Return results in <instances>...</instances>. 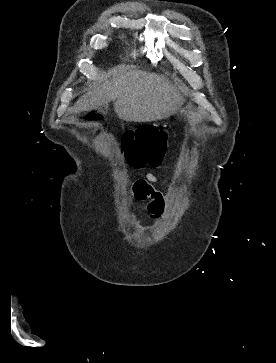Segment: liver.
Masks as SVG:
<instances>
[{
  "label": "liver",
  "instance_id": "liver-1",
  "mask_svg": "<svg viewBox=\"0 0 276 363\" xmlns=\"http://www.w3.org/2000/svg\"><path fill=\"white\" fill-rule=\"evenodd\" d=\"M110 101L123 121L149 122L174 114L183 98L166 77L122 66L110 80L81 96L74 110H94Z\"/></svg>",
  "mask_w": 276,
  "mask_h": 363
}]
</instances>
